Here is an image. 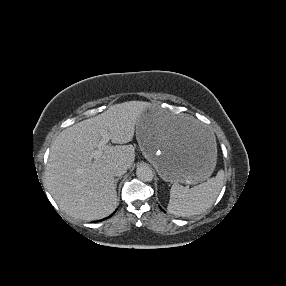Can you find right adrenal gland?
<instances>
[{"label": "right adrenal gland", "instance_id": "1", "mask_svg": "<svg viewBox=\"0 0 286 286\" xmlns=\"http://www.w3.org/2000/svg\"><path fill=\"white\" fill-rule=\"evenodd\" d=\"M120 179H121V177H118L117 179H115V187H117V183Z\"/></svg>", "mask_w": 286, "mask_h": 286}]
</instances>
